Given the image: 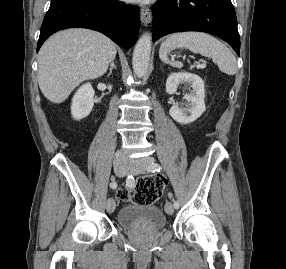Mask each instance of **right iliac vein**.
<instances>
[{"label": "right iliac vein", "mask_w": 286, "mask_h": 269, "mask_svg": "<svg viewBox=\"0 0 286 269\" xmlns=\"http://www.w3.org/2000/svg\"><path fill=\"white\" fill-rule=\"evenodd\" d=\"M128 172V167L126 165H119L115 168V173L118 177H123ZM115 202L112 198L108 199L106 203V209L108 213H113L115 210Z\"/></svg>", "instance_id": "right-iliac-vein-1"}]
</instances>
